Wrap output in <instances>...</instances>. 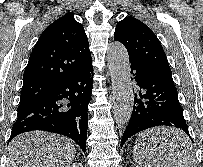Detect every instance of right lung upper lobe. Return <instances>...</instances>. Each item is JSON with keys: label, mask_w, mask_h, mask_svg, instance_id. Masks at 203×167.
<instances>
[{"label": "right lung upper lobe", "mask_w": 203, "mask_h": 167, "mask_svg": "<svg viewBox=\"0 0 203 167\" xmlns=\"http://www.w3.org/2000/svg\"><path fill=\"white\" fill-rule=\"evenodd\" d=\"M92 61L83 26L67 13L41 34L23 75L20 103L47 97L61 82Z\"/></svg>", "instance_id": "obj_1"}]
</instances>
